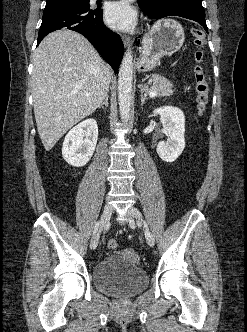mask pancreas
<instances>
[{"label":"pancreas","instance_id":"cf45deb5","mask_svg":"<svg viewBox=\"0 0 247 332\" xmlns=\"http://www.w3.org/2000/svg\"><path fill=\"white\" fill-rule=\"evenodd\" d=\"M173 84L167 80L165 77H160L158 75L153 76V84L151 86L142 85L141 89L144 92L156 91L157 97H165L173 94L174 90Z\"/></svg>","mask_w":247,"mask_h":332}]
</instances>
